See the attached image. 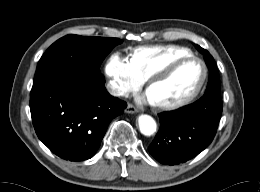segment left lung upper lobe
Listing matches in <instances>:
<instances>
[{
	"mask_svg": "<svg viewBox=\"0 0 260 192\" xmlns=\"http://www.w3.org/2000/svg\"><path fill=\"white\" fill-rule=\"evenodd\" d=\"M198 49L204 53L209 68V81L204 96H220L219 73L216 68L215 61L207 50L201 48L200 46H198Z\"/></svg>",
	"mask_w": 260,
	"mask_h": 192,
	"instance_id": "left-lung-upper-lobe-1",
	"label": "left lung upper lobe"
}]
</instances>
